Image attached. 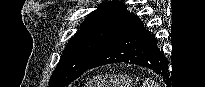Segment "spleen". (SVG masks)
Returning a JSON list of instances; mask_svg holds the SVG:
<instances>
[{
    "mask_svg": "<svg viewBox=\"0 0 205 87\" xmlns=\"http://www.w3.org/2000/svg\"><path fill=\"white\" fill-rule=\"evenodd\" d=\"M143 87H159V85L153 79L148 78L143 84Z\"/></svg>",
    "mask_w": 205,
    "mask_h": 87,
    "instance_id": "obj_1",
    "label": "spleen"
}]
</instances>
